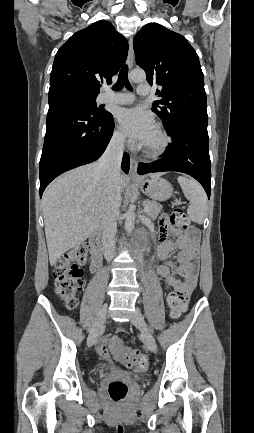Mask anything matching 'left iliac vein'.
I'll return each instance as SVG.
<instances>
[{
    "label": "left iliac vein",
    "instance_id": "obj_1",
    "mask_svg": "<svg viewBox=\"0 0 254 433\" xmlns=\"http://www.w3.org/2000/svg\"><path fill=\"white\" fill-rule=\"evenodd\" d=\"M131 322L134 326H136L137 328H139L143 332L147 348L151 352H155L157 349L156 341L154 339L153 334L151 333V331L147 327V324L144 320V317L142 316V314L138 308L135 309V311L132 315V318H131Z\"/></svg>",
    "mask_w": 254,
    "mask_h": 433
}]
</instances>
